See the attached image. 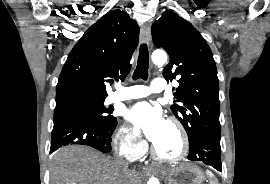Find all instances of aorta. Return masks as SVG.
I'll return each instance as SVG.
<instances>
[{"label": "aorta", "instance_id": "obj_1", "mask_svg": "<svg viewBox=\"0 0 270 184\" xmlns=\"http://www.w3.org/2000/svg\"><path fill=\"white\" fill-rule=\"evenodd\" d=\"M152 61L156 65H163L167 61V54L164 51H155L152 54ZM147 184H159V180L152 177L148 180Z\"/></svg>", "mask_w": 270, "mask_h": 184}]
</instances>
